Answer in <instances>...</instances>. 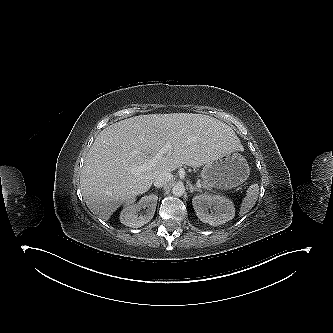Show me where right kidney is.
<instances>
[{"label": "right kidney", "mask_w": 333, "mask_h": 333, "mask_svg": "<svg viewBox=\"0 0 333 333\" xmlns=\"http://www.w3.org/2000/svg\"><path fill=\"white\" fill-rule=\"evenodd\" d=\"M132 199L126 202L125 207L121 211L120 221L122 224L128 227H142L153 218L156 210L158 196L154 194L144 196L139 200L138 203L135 204H132ZM142 208L146 209L145 213L138 215V212H140Z\"/></svg>", "instance_id": "1"}]
</instances>
